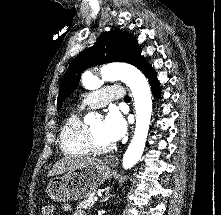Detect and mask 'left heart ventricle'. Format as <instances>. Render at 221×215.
<instances>
[{
	"instance_id": "left-heart-ventricle-1",
	"label": "left heart ventricle",
	"mask_w": 221,
	"mask_h": 215,
	"mask_svg": "<svg viewBox=\"0 0 221 215\" xmlns=\"http://www.w3.org/2000/svg\"><path fill=\"white\" fill-rule=\"evenodd\" d=\"M102 125V121H96L90 126V128L92 129L94 136L99 144L109 145L110 143L107 140H105V138L102 135Z\"/></svg>"
}]
</instances>
